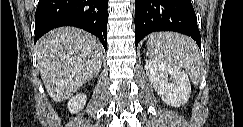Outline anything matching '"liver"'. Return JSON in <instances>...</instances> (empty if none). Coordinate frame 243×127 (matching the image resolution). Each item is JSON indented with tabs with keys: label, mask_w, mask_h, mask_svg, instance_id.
Listing matches in <instances>:
<instances>
[{
	"label": "liver",
	"mask_w": 243,
	"mask_h": 127,
	"mask_svg": "<svg viewBox=\"0 0 243 127\" xmlns=\"http://www.w3.org/2000/svg\"><path fill=\"white\" fill-rule=\"evenodd\" d=\"M36 47L41 78L55 102L68 99L101 69L102 46L95 36L81 29L51 30Z\"/></svg>",
	"instance_id": "6515ba94"
}]
</instances>
